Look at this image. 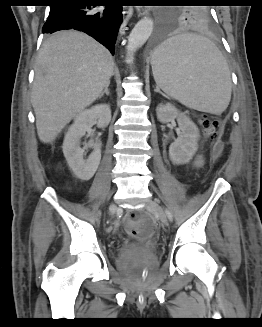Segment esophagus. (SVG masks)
<instances>
[{
  "label": "esophagus",
  "mask_w": 262,
  "mask_h": 327,
  "mask_svg": "<svg viewBox=\"0 0 262 327\" xmlns=\"http://www.w3.org/2000/svg\"><path fill=\"white\" fill-rule=\"evenodd\" d=\"M137 13L138 16H144L149 14V9L148 8H143V7H138L137 8Z\"/></svg>",
  "instance_id": "obj_1"
}]
</instances>
